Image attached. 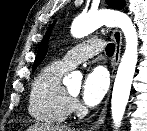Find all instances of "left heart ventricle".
<instances>
[{
    "label": "left heart ventricle",
    "instance_id": "obj_1",
    "mask_svg": "<svg viewBox=\"0 0 147 131\" xmlns=\"http://www.w3.org/2000/svg\"><path fill=\"white\" fill-rule=\"evenodd\" d=\"M79 89H80V85L75 84V85L70 86L68 90L73 94H77Z\"/></svg>",
    "mask_w": 147,
    "mask_h": 131
}]
</instances>
